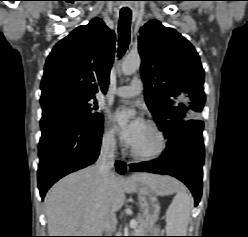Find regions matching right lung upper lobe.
<instances>
[{
  "label": "right lung upper lobe",
  "instance_id": "obj_1",
  "mask_svg": "<svg viewBox=\"0 0 248 237\" xmlns=\"http://www.w3.org/2000/svg\"><path fill=\"white\" fill-rule=\"evenodd\" d=\"M115 34L101 19H92L59 41L49 54L41 81L44 103L61 96L94 98L107 90Z\"/></svg>",
  "mask_w": 248,
  "mask_h": 237
}]
</instances>
